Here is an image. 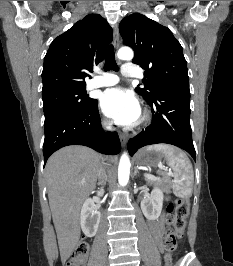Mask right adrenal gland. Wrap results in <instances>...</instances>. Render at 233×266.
Listing matches in <instances>:
<instances>
[{"label": "right adrenal gland", "mask_w": 233, "mask_h": 266, "mask_svg": "<svg viewBox=\"0 0 233 266\" xmlns=\"http://www.w3.org/2000/svg\"><path fill=\"white\" fill-rule=\"evenodd\" d=\"M104 183H102L101 181L98 182V185H103Z\"/></svg>", "instance_id": "obj_1"}]
</instances>
